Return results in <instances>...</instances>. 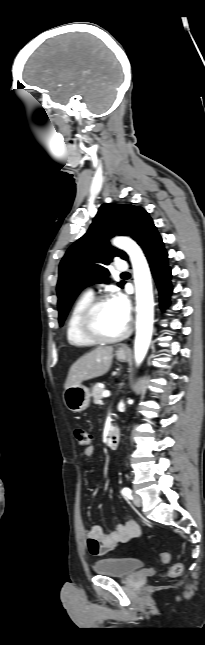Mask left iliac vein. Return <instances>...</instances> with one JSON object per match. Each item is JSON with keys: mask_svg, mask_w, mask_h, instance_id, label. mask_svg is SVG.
<instances>
[{"mask_svg": "<svg viewBox=\"0 0 205 645\" xmlns=\"http://www.w3.org/2000/svg\"><path fill=\"white\" fill-rule=\"evenodd\" d=\"M132 500H133V503H134L135 506H137V507L142 506V498H141V496H139L137 494H134Z\"/></svg>", "mask_w": 205, "mask_h": 645, "instance_id": "4c4485c4", "label": "left iliac vein"}]
</instances>
